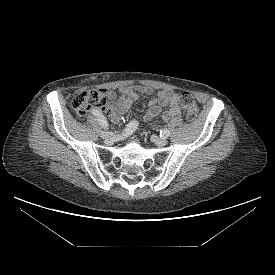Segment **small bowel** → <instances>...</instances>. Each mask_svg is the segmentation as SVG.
<instances>
[{"instance_id":"small-bowel-1","label":"small bowel","mask_w":275,"mask_h":275,"mask_svg":"<svg viewBox=\"0 0 275 275\" xmlns=\"http://www.w3.org/2000/svg\"><path fill=\"white\" fill-rule=\"evenodd\" d=\"M101 92L108 99L104 111L114 123H118L122 119L123 114L141 95H154V98L148 103L144 116L146 121L159 119L169 121L179 117L182 112L178 94L169 88L154 92L151 88L141 85L123 86L118 89L119 98L113 90L103 89ZM163 108H166L164 112H162Z\"/></svg>"}]
</instances>
